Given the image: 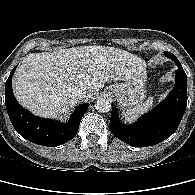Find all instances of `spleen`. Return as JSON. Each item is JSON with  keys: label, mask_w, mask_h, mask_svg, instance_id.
<instances>
[{"label": "spleen", "mask_w": 195, "mask_h": 195, "mask_svg": "<svg viewBox=\"0 0 195 195\" xmlns=\"http://www.w3.org/2000/svg\"><path fill=\"white\" fill-rule=\"evenodd\" d=\"M155 98L150 97L147 101L141 103L140 105L128 109L125 113V118L129 121L137 119L141 114H144L152 109L154 106Z\"/></svg>", "instance_id": "3e777b00"}]
</instances>
